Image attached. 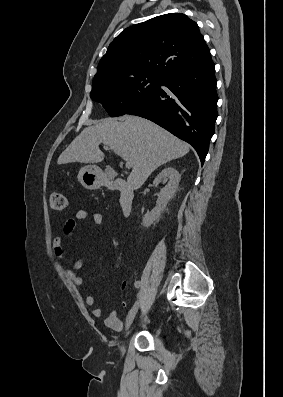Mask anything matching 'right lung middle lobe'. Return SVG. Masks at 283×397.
<instances>
[{"instance_id": "1", "label": "right lung middle lobe", "mask_w": 283, "mask_h": 397, "mask_svg": "<svg viewBox=\"0 0 283 397\" xmlns=\"http://www.w3.org/2000/svg\"><path fill=\"white\" fill-rule=\"evenodd\" d=\"M163 80L152 76L97 81L90 97L102 104L111 117L121 116L154 95Z\"/></svg>"}]
</instances>
